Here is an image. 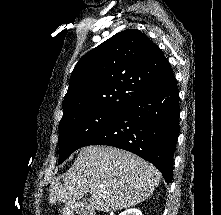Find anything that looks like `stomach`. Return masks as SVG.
I'll return each mask as SVG.
<instances>
[{"label":"stomach","instance_id":"stomach-1","mask_svg":"<svg viewBox=\"0 0 221 215\" xmlns=\"http://www.w3.org/2000/svg\"><path fill=\"white\" fill-rule=\"evenodd\" d=\"M62 215H74V206L70 203L65 204L61 209Z\"/></svg>","mask_w":221,"mask_h":215}]
</instances>
